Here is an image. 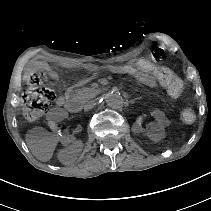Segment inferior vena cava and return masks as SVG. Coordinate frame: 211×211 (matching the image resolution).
<instances>
[{
    "mask_svg": "<svg viewBox=\"0 0 211 211\" xmlns=\"http://www.w3.org/2000/svg\"><path fill=\"white\" fill-rule=\"evenodd\" d=\"M94 105H95V104L92 103V102H91V103H88V104L85 106L84 110H85V111L91 110V109H93Z\"/></svg>",
    "mask_w": 211,
    "mask_h": 211,
    "instance_id": "inferior-vena-cava-1",
    "label": "inferior vena cava"
}]
</instances>
